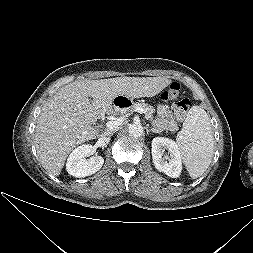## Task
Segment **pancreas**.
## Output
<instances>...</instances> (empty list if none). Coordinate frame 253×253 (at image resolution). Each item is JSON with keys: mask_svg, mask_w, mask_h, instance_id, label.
<instances>
[{"mask_svg": "<svg viewBox=\"0 0 253 253\" xmlns=\"http://www.w3.org/2000/svg\"><path fill=\"white\" fill-rule=\"evenodd\" d=\"M139 107L143 109V113L145 114L146 119L153 120V113L155 112V109L151 105L145 102H136L133 104L131 109L135 110Z\"/></svg>", "mask_w": 253, "mask_h": 253, "instance_id": "cf45deb5", "label": "pancreas"}]
</instances>
